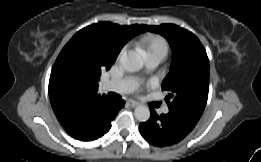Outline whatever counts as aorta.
Listing matches in <instances>:
<instances>
[{
	"instance_id": "aorta-1",
	"label": "aorta",
	"mask_w": 261,
	"mask_h": 162,
	"mask_svg": "<svg viewBox=\"0 0 261 162\" xmlns=\"http://www.w3.org/2000/svg\"><path fill=\"white\" fill-rule=\"evenodd\" d=\"M120 64L127 72H136L144 65L143 57L136 51L130 50L120 57ZM135 118L140 122H146L150 118V110L147 106H138L134 110Z\"/></svg>"
}]
</instances>
